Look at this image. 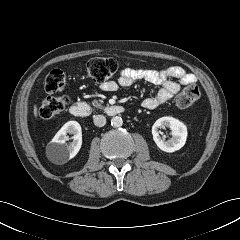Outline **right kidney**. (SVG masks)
<instances>
[{
    "label": "right kidney",
    "mask_w": 240,
    "mask_h": 240,
    "mask_svg": "<svg viewBox=\"0 0 240 240\" xmlns=\"http://www.w3.org/2000/svg\"><path fill=\"white\" fill-rule=\"evenodd\" d=\"M67 133L74 134L73 141L68 145ZM82 145L81 126L76 121H68L56 133L52 141L47 146L49 159L55 164H64L76 156Z\"/></svg>",
    "instance_id": "obj_1"
}]
</instances>
